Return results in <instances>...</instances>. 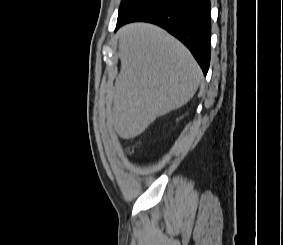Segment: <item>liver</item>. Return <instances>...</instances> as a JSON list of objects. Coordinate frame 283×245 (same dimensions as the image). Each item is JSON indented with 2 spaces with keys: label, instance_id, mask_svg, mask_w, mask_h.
I'll return each mask as SVG.
<instances>
[{
  "label": "liver",
  "instance_id": "obj_1",
  "mask_svg": "<svg viewBox=\"0 0 283 245\" xmlns=\"http://www.w3.org/2000/svg\"><path fill=\"white\" fill-rule=\"evenodd\" d=\"M118 37L121 70L111 120L119 136L134 138L156 118L184 106L203 75L189 50L155 25L128 24Z\"/></svg>",
  "mask_w": 283,
  "mask_h": 245
}]
</instances>
